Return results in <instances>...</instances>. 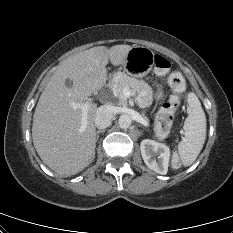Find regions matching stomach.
<instances>
[{
    "label": "stomach",
    "instance_id": "stomach-1",
    "mask_svg": "<svg viewBox=\"0 0 233 233\" xmlns=\"http://www.w3.org/2000/svg\"><path fill=\"white\" fill-rule=\"evenodd\" d=\"M154 60L155 54L148 47L135 46L129 50L122 69L131 77L143 78L152 70Z\"/></svg>",
    "mask_w": 233,
    "mask_h": 233
}]
</instances>
